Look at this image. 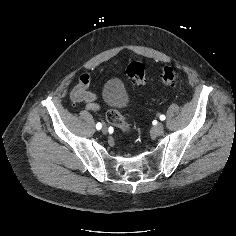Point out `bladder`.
I'll return each mask as SVG.
<instances>
[{
  "label": "bladder",
  "instance_id": "bladder-1",
  "mask_svg": "<svg viewBox=\"0 0 236 236\" xmlns=\"http://www.w3.org/2000/svg\"><path fill=\"white\" fill-rule=\"evenodd\" d=\"M104 104L112 109L120 110L128 102V96L123 84L117 79L108 80L102 88Z\"/></svg>",
  "mask_w": 236,
  "mask_h": 236
}]
</instances>
